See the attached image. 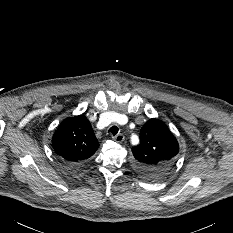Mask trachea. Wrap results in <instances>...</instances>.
I'll return each instance as SVG.
<instances>
[{
  "mask_svg": "<svg viewBox=\"0 0 233 233\" xmlns=\"http://www.w3.org/2000/svg\"><path fill=\"white\" fill-rule=\"evenodd\" d=\"M119 129L117 126H112L108 132H110L113 136H115L118 133Z\"/></svg>",
  "mask_w": 233,
  "mask_h": 233,
  "instance_id": "obj_1",
  "label": "trachea"
}]
</instances>
